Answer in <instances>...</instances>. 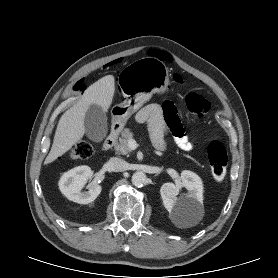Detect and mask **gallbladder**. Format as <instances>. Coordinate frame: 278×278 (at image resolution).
Returning <instances> with one entry per match:
<instances>
[{
	"label": "gallbladder",
	"mask_w": 278,
	"mask_h": 278,
	"mask_svg": "<svg viewBox=\"0 0 278 278\" xmlns=\"http://www.w3.org/2000/svg\"><path fill=\"white\" fill-rule=\"evenodd\" d=\"M84 127L86 136L94 142H102L107 135L106 113L96 104H91L85 114Z\"/></svg>",
	"instance_id": "gallbladder-1"
}]
</instances>
